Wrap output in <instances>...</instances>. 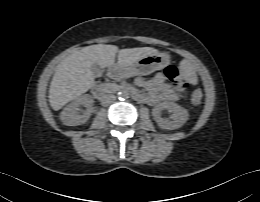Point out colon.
<instances>
[{
    "instance_id": "5ec220e1",
    "label": "colon",
    "mask_w": 260,
    "mask_h": 202,
    "mask_svg": "<svg viewBox=\"0 0 260 202\" xmlns=\"http://www.w3.org/2000/svg\"><path fill=\"white\" fill-rule=\"evenodd\" d=\"M165 76L172 84V86L177 89L178 91L184 90L187 79L186 77L180 72L178 67L175 65H169L165 69ZM203 98L202 91L200 89H195L190 94V102L193 105H198L201 103Z\"/></svg>"
}]
</instances>
